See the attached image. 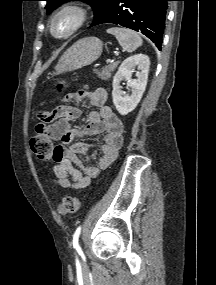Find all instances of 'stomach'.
<instances>
[{"label":"stomach","mask_w":216,"mask_h":285,"mask_svg":"<svg viewBox=\"0 0 216 285\" xmlns=\"http://www.w3.org/2000/svg\"><path fill=\"white\" fill-rule=\"evenodd\" d=\"M103 44L97 37H86L75 42L59 59L55 74L71 72L92 64L102 53Z\"/></svg>","instance_id":"stomach-1"}]
</instances>
